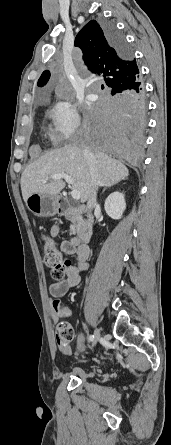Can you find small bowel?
<instances>
[{"label":"small bowel","mask_w":171,"mask_h":445,"mask_svg":"<svg viewBox=\"0 0 171 445\" xmlns=\"http://www.w3.org/2000/svg\"><path fill=\"white\" fill-rule=\"evenodd\" d=\"M60 229L58 226L54 225L51 227L50 234L53 238H57ZM60 250L66 255H76V262L69 264L65 269V278L63 280L57 281L50 285V292L55 298L62 297L65 295L72 287L76 286L80 282V274L88 269L89 263V248L81 244V242L75 238L71 237L69 239L63 240L60 243ZM52 321L56 324L60 321L63 314L67 313L61 307L59 300L54 299L50 302ZM84 341L82 334L78 336V344L81 345ZM59 350L64 355H71L72 349L69 345L59 344Z\"/></svg>","instance_id":"obj_1"}]
</instances>
